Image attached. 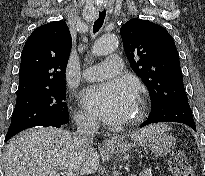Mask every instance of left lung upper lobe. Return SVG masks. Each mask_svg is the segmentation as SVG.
<instances>
[{
	"mask_svg": "<svg viewBox=\"0 0 205 176\" xmlns=\"http://www.w3.org/2000/svg\"><path fill=\"white\" fill-rule=\"evenodd\" d=\"M120 34L132 69L149 90L151 109L186 94L178 51L165 28L134 18L121 27Z\"/></svg>",
	"mask_w": 205,
	"mask_h": 176,
	"instance_id": "5c2ea615",
	"label": "left lung upper lobe"
}]
</instances>
